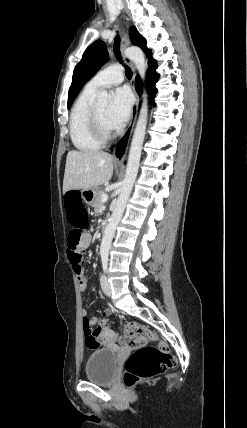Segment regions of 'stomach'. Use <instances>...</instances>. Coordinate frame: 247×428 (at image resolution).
Returning <instances> with one entry per match:
<instances>
[{"label":"stomach","mask_w":247,"mask_h":428,"mask_svg":"<svg viewBox=\"0 0 247 428\" xmlns=\"http://www.w3.org/2000/svg\"><path fill=\"white\" fill-rule=\"evenodd\" d=\"M81 193H82V199L84 200V202L87 203L88 205H93L97 195V188L85 189Z\"/></svg>","instance_id":"0dacf381"}]
</instances>
